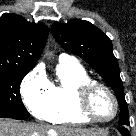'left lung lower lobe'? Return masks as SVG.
Here are the masks:
<instances>
[{
	"mask_svg": "<svg viewBox=\"0 0 136 136\" xmlns=\"http://www.w3.org/2000/svg\"><path fill=\"white\" fill-rule=\"evenodd\" d=\"M119 131L122 133L123 136H129L130 135L129 131L124 127L119 128Z\"/></svg>",
	"mask_w": 136,
	"mask_h": 136,
	"instance_id": "1",
	"label": "left lung lower lobe"
}]
</instances>
